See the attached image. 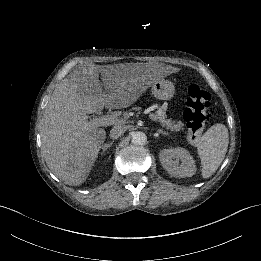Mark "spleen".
Returning <instances> with one entry per match:
<instances>
[{
    "label": "spleen",
    "instance_id": "obj_1",
    "mask_svg": "<svg viewBox=\"0 0 261 261\" xmlns=\"http://www.w3.org/2000/svg\"><path fill=\"white\" fill-rule=\"evenodd\" d=\"M229 134L223 123L212 124L197 143V154L201 162V177L212 176L227 153Z\"/></svg>",
    "mask_w": 261,
    "mask_h": 261
}]
</instances>
